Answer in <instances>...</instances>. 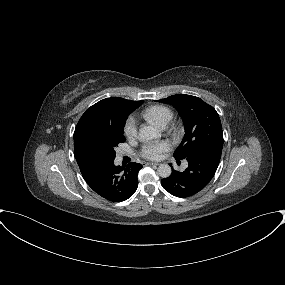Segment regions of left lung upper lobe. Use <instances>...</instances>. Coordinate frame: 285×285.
I'll list each match as a JSON object with an SVG mask.
<instances>
[{
    "instance_id": "1",
    "label": "left lung upper lobe",
    "mask_w": 285,
    "mask_h": 285,
    "mask_svg": "<svg viewBox=\"0 0 285 285\" xmlns=\"http://www.w3.org/2000/svg\"><path fill=\"white\" fill-rule=\"evenodd\" d=\"M174 106L184 122L185 135L174 153L175 159L206 149H222L223 132L216 110L202 99L186 95H172L159 100Z\"/></svg>"
}]
</instances>
